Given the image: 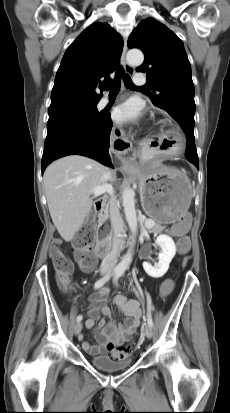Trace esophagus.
I'll use <instances>...</instances> for the list:
<instances>
[{"instance_id": "34e87169", "label": "esophagus", "mask_w": 230, "mask_h": 413, "mask_svg": "<svg viewBox=\"0 0 230 413\" xmlns=\"http://www.w3.org/2000/svg\"><path fill=\"white\" fill-rule=\"evenodd\" d=\"M126 53H127V42L126 39L124 40V45H123V50H122V54H121V64L124 67V70L127 74L129 75H133L134 74V68L132 66H130L127 61H126ZM124 142H121V149H119L120 152H126L127 150L130 149L131 144L125 139V136L123 135V133H121ZM126 166H122V168H125Z\"/></svg>"}]
</instances>
